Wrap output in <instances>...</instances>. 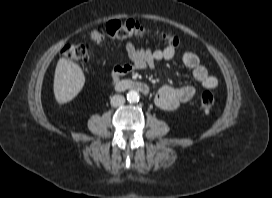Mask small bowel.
<instances>
[{
  "label": "small bowel",
  "mask_w": 272,
  "mask_h": 198,
  "mask_svg": "<svg viewBox=\"0 0 272 198\" xmlns=\"http://www.w3.org/2000/svg\"><path fill=\"white\" fill-rule=\"evenodd\" d=\"M124 48L125 53H116L124 63L115 66L109 74L113 83L134 70L150 69L161 62L179 58L182 64L191 70L193 78L199 82L203 89H214L218 84L216 77L209 74L206 67L201 64L199 57L192 52L178 55L177 50L172 46L152 50L138 46L129 40L125 41ZM103 60L104 57H100L97 62L101 63ZM195 94L196 88L191 85L181 87L164 85L158 89L155 103L163 110L172 111L192 100Z\"/></svg>",
  "instance_id": "c3829d8e"
}]
</instances>
